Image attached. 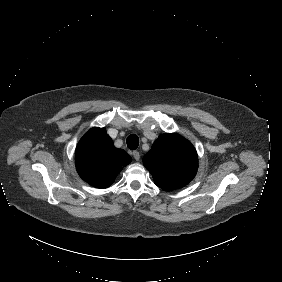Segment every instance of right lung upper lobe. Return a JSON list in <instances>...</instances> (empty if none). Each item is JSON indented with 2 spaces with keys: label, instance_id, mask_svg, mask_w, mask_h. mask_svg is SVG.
I'll return each instance as SVG.
<instances>
[{
  "label": "right lung upper lobe",
  "instance_id": "obj_1",
  "mask_svg": "<svg viewBox=\"0 0 282 282\" xmlns=\"http://www.w3.org/2000/svg\"><path fill=\"white\" fill-rule=\"evenodd\" d=\"M80 177L96 188H107L131 157L113 145L104 128H91L79 141L75 152Z\"/></svg>",
  "mask_w": 282,
  "mask_h": 282
}]
</instances>
